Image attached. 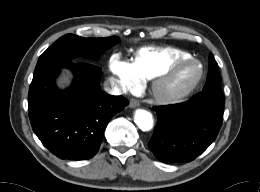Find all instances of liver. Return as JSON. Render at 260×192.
<instances>
[{"instance_id": "6515ba94", "label": "liver", "mask_w": 260, "mask_h": 192, "mask_svg": "<svg viewBox=\"0 0 260 192\" xmlns=\"http://www.w3.org/2000/svg\"><path fill=\"white\" fill-rule=\"evenodd\" d=\"M58 83L61 86V88H65V87L69 86L70 81L68 80V77H66L65 75H62L61 77H59Z\"/></svg>"}]
</instances>
